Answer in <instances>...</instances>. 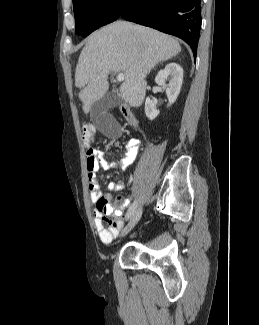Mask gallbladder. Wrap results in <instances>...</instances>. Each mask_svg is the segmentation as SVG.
I'll return each mask as SVG.
<instances>
[{"mask_svg":"<svg viewBox=\"0 0 259 325\" xmlns=\"http://www.w3.org/2000/svg\"><path fill=\"white\" fill-rule=\"evenodd\" d=\"M121 101L119 93L113 90L107 92L92 105L91 120L101 130V135L107 136L108 139L122 138L120 122L115 121L113 116L108 114V110L118 106Z\"/></svg>","mask_w":259,"mask_h":325,"instance_id":"1","label":"gallbladder"}]
</instances>
